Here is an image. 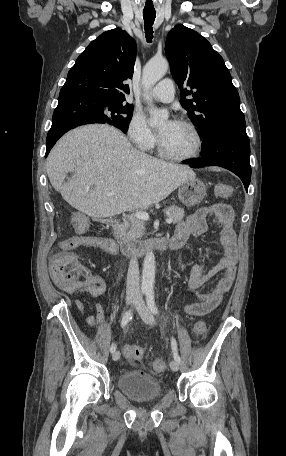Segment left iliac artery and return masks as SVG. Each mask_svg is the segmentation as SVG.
<instances>
[{
  "label": "left iliac artery",
  "mask_w": 286,
  "mask_h": 456,
  "mask_svg": "<svg viewBox=\"0 0 286 456\" xmlns=\"http://www.w3.org/2000/svg\"><path fill=\"white\" fill-rule=\"evenodd\" d=\"M146 302H147V305H148V308L149 310L157 315L159 313L158 311V308L155 304V298H154V291L153 290H147L146 291ZM171 347H172V351H173V355H174V359L180 363L181 362V358L177 352V344H176V341L174 338H172V341H171Z\"/></svg>",
  "instance_id": "44dca946"
}]
</instances>
